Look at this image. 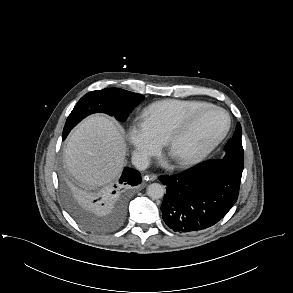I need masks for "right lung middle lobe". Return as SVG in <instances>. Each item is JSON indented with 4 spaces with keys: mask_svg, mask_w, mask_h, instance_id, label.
I'll return each mask as SVG.
<instances>
[{
    "mask_svg": "<svg viewBox=\"0 0 293 293\" xmlns=\"http://www.w3.org/2000/svg\"><path fill=\"white\" fill-rule=\"evenodd\" d=\"M143 99L144 96L141 94L119 88H107L87 93L78 101L68 116L63 130V140L75 125L93 113L114 115L119 121H124ZM63 197L70 213L86 229L103 232L115 227L111 214L95 213L85 202L83 194L76 189L64 185Z\"/></svg>",
    "mask_w": 293,
    "mask_h": 293,
    "instance_id": "obj_1",
    "label": "right lung middle lobe"
}]
</instances>
